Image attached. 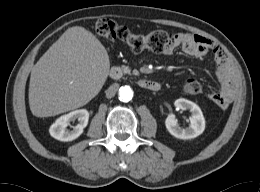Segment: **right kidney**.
I'll list each match as a JSON object with an SVG mask.
<instances>
[{
	"label": "right kidney",
	"instance_id": "1",
	"mask_svg": "<svg viewBox=\"0 0 260 192\" xmlns=\"http://www.w3.org/2000/svg\"><path fill=\"white\" fill-rule=\"evenodd\" d=\"M78 120V124L73 130H67V126L71 121ZM89 120V112L86 109H79L68 114L60 116L49 128L50 135L60 141H72L78 138L83 129L87 126Z\"/></svg>",
	"mask_w": 260,
	"mask_h": 192
}]
</instances>
